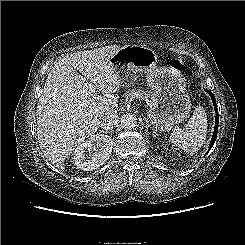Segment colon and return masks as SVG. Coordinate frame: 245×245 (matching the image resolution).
I'll use <instances>...</instances> for the list:
<instances>
[{"label":"colon","mask_w":245,"mask_h":245,"mask_svg":"<svg viewBox=\"0 0 245 245\" xmlns=\"http://www.w3.org/2000/svg\"><path fill=\"white\" fill-rule=\"evenodd\" d=\"M172 66L177 68L178 70H183L184 69L183 64L181 62H179V61H176V60H174L172 62Z\"/></svg>","instance_id":"obj_1"}]
</instances>
